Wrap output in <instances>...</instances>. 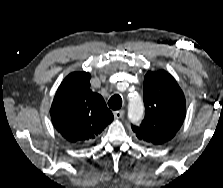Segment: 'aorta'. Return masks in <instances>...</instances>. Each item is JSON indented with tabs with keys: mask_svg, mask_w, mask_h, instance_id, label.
I'll return each instance as SVG.
<instances>
[{
	"mask_svg": "<svg viewBox=\"0 0 223 188\" xmlns=\"http://www.w3.org/2000/svg\"><path fill=\"white\" fill-rule=\"evenodd\" d=\"M144 115V105L142 98L139 95H135L129 99L128 104V118L131 122H139Z\"/></svg>",
	"mask_w": 223,
	"mask_h": 188,
	"instance_id": "762f6f07",
	"label": "aorta"
}]
</instances>
